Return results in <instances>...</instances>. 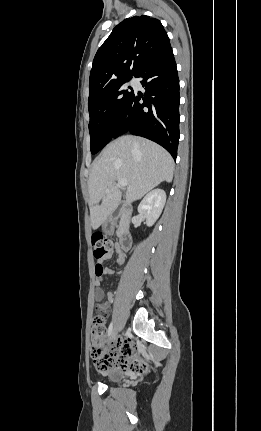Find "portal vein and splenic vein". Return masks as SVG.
Returning a JSON list of instances; mask_svg holds the SVG:
<instances>
[{
    "label": "portal vein and splenic vein",
    "instance_id": "18ae733b",
    "mask_svg": "<svg viewBox=\"0 0 261 431\" xmlns=\"http://www.w3.org/2000/svg\"><path fill=\"white\" fill-rule=\"evenodd\" d=\"M117 181H118V184H119L121 187H126V186L128 185L127 180H126V179H124V178H119Z\"/></svg>",
    "mask_w": 261,
    "mask_h": 431
}]
</instances>
